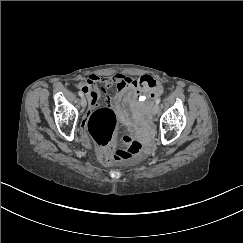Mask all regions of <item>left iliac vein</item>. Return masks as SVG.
Segmentation results:
<instances>
[{
	"instance_id": "1",
	"label": "left iliac vein",
	"mask_w": 243,
	"mask_h": 243,
	"mask_svg": "<svg viewBox=\"0 0 243 243\" xmlns=\"http://www.w3.org/2000/svg\"><path fill=\"white\" fill-rule=\"evenodd\" d=\"M159 112V105L155 104L152 108V114L156 115Z\"/></svg>"
}]
</instances>
